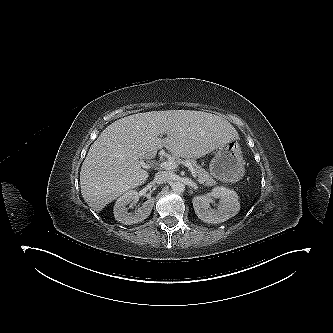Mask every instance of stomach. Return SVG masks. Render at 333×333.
<instances>
[{
    "label": "stomach",
    "mask_w": 333,
    "mask_h": 333,
    "mask_svg": "<svg viewBox=\"0 0 333 333\" xmlns=\"http://www.w3.org/2000/svg\"><path fill=\"white\" fill-rule=\"evenodd\" d=\"M245 161L239 144L233 140L221 146L209 165L210 174L225 183H235L245 173Z\"/></svg>",
    "instance_id": "1"
}]
</instances>
